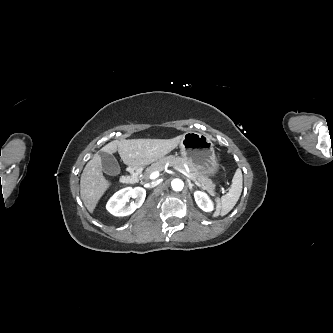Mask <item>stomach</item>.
I'll list each match as a JSON object with an SVG mask.
<instances>
[{"instance_id": "0dacf381", "label": "stomach", "mask_w": 333, "mask_h": 333, "mask_svg": "<svg viewBox=\"0 0 333 333\" xmlns=\"http://www.w3.org/2000/svg\"><path fill=\"white\" fill-rule=\"evenodd\" d=\"M180 151L196 169L206 176H215L219 171V163L214 144L206 134L188 132L180 141Z\"/></svg>"}]
</instances>
